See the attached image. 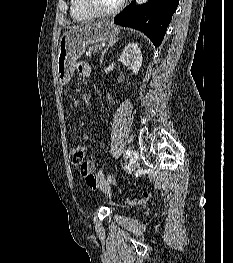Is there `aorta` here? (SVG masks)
Instances as JSON below:
<instances>
[{
  "instance_id": "obj_1",
  "label": "aorta",
  "mask_w": 233,
  "mask_h": 263,
  "mask_svg": "<svg viewBox=\"0 0 233 263\" xmlns=\"http://www.w3.org/2000/svg\"><path fill=\"white\" fill-rule=\"evenodd\" d=\"M146 0H139L140 3L145 2Z\"/></svg>"
}]
</instances>
